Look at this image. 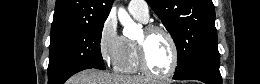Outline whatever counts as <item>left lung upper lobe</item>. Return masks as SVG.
Listing matches in <instances>:
<instances>
[{"label":"left lung upper lobe","mask_w":260,"mask_h":84,"mask_svg":"<svg viewBox=\"0 0 260 84\" xmlns=\"http://www.w3.org/2000/svg\"><path fill=\"white\" fill-rule=\"evenodd\" d=\"M171 34L178 51L174 76L219 58L212 0H146Z\"/></svg>","instance_id":"obj_1"}]
</instances>
